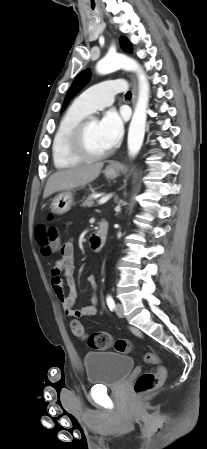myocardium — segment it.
I'll list each match as a JSON object with an SVG mask.
<instances>
[{
    "label": "myocardium",
    "mask_w": 207,
    "mask_h": 449,
    "mask_svg": "<svg viewBox=\"0 0 207 449\" xmlns=\"http://www.w3.org/2000/svg\"><path fill=\"white\" fill-rule=\"evenodd\" d=\"M93 121L94 120L90 117H87L82 121H80L72 129L68 138V149L70 153L83 161L101 160L106 156H108L111 152V148H108L107 150L98 153L92 152L87 148L85 142V135L88 126Z\"/></svg>",
    "instance_id": "f54148a6"
}]
</instances>
